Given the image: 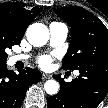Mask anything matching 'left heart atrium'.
<instances>
[{
	"label": "left heart atrium",
	"instance_id": "left-heart-atrium-1",
	"mask_svg": "<svg viewBox=\"0 0 108 108\" xmlns=\"http://www.w3.org/2000/svg\"><path fill=\"white\" fill-rule=\"evenodd\" d=\"M39 65L42 68H48L51 65V59L47 56H44L39 60Z\"/></svg>",
	"mask_w": 108,
	"mask_h": 108
}]
</instances>
